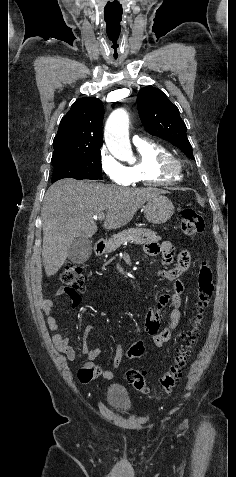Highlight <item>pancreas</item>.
Masks as SVG:
<instances>
[{
    "label": "pancreas",
    "mask_w": 236,
    "mask_h": 477,
    "mask_svg": "<svg viewBox=\"0 0 236 477\" xmlns=\"http://www.w3.org/2000/svg\"><path fill=\"white\" fill-rule=\"evenodd\" d=\"M159 240H161V237L157 236L156 233L150 229L130 228L113 235L107 243L106 252H114L122 244L127 242L142 245L157 242Z\"/></svg>",
    "instance_id": "cf45deb5"
}]
</instances>
